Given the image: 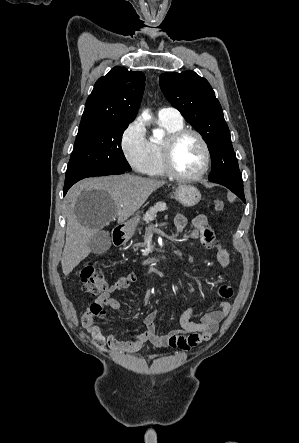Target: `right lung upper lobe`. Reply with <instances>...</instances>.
I'll return each instance as SVG.
<instances>
[{
	"label": "right lung upper lobe",
	"instance_id": "obj_1",
	"mask_svg": "<svg viewBox=\"0 0 299 443\" xmlns=\"http://www.w3.org/2000/svg\"><path fill=\"white\" fill-rule=\"evenodd\" d=\"M145 76L115 66L97 80L89 95L79 131L108 123L131 122L135 119L143 95Z\"/></svg>",
	"mask_w": 299,
	"mask_h": 443
}]
</instances>
